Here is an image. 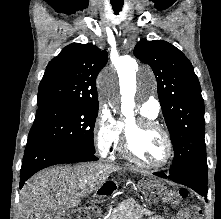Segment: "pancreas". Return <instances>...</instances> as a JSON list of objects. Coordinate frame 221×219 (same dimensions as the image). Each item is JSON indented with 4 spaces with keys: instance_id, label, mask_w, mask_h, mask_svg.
Wrapping results in <instances>:
<instances>
[{
    "instance_id": "1",
    "label": "pancreas",
    "mask_w": 221,
    "mask_h": 219,
    "mask_svg": "<svg viewBox=\"0 0 221 219\" xmlns=\"http://www.w3.org/2000/svg\"><path fill=\"white\" fill-rule=\"evenodd\" d=\"M150 214H152L151 211L141 207L135 200H131L113 209L108 219H141L144 215Z\"/></svg>"
}]
</instances>
